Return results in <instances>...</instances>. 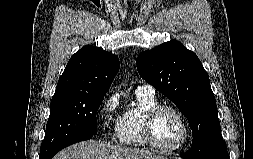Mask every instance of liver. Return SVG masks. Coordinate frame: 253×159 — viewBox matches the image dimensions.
<instances>
[{
  "mask_svg": "<svg viewBox=\"0 0 253 159\" xmlns=\"http://www.w3.org/2000/svg\"><path fill=\"white\" fill-rule=\"evenodd\" d=\"M52 159H167L150 150L109 146L95 140H87L73 144Z\"/></svg>",
  "mask_w": 253,
  "mask_h": 159,
  "instance_id": "obj_1",
  "label": "liver"
}]
</instances>
